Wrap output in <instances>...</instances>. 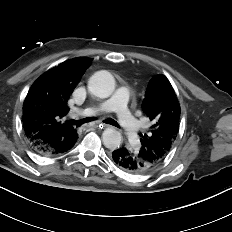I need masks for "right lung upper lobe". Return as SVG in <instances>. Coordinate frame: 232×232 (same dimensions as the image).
I'll list each match as a JSON object with an SVG mask.
<instances>
[{
  "label": "right lung upper lobe",
  "mask_w": 232,
  "mask_h": 232,
  "mask_svg": "<svg viewBox=\"0 0 232 232\" xmlns=\"http://www.w3.org/2000/svg\"><path fill=\"white\" fill-rule=\"evenodd\" d=\"M92 59L67 60L45 72L31 86L23 104L22 124L25 136L36 151L61 145V150L78 138L63 117L69 111L67 101Z\"/></svg>",
  "instance_id": "obj_1"
}]
</instances>
